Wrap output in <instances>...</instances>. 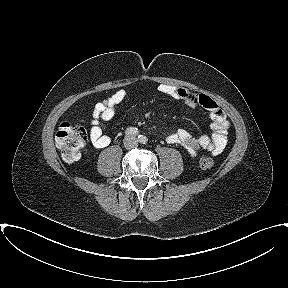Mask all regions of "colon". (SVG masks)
I'll return each instance as SVG.
<instances>
[{
  "mask_svg": "<svg viewBox=\"0 0 288 288\" xmlns=\"http://www.w3.org/2000/svg\"><path fill=\"white\" fill-rule=\"evenodd\" d=\"M57 148L61 151L66 162H75L80 159L82 150L88 142L85 127L80 123L64 122L59 126L55 136ZM202 169H210L215 165V160L203 157L199 160Z\"/></svg>",
  "mask_w": 288,
  "mask_h": 288,
  "instance_id": "obj_1",
  "label": "colon"
}]
</instances>
